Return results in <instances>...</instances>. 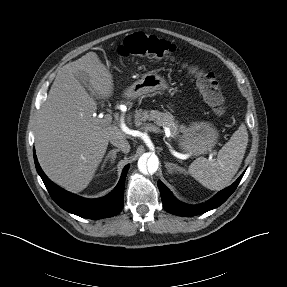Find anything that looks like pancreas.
<instances>
[{
    "instance_id": "obj_1",
    "label": "pancreas",
    "mask_w": 287,
    "mask_h": 287,
    "mask_svg": "<svg viewBox=\"0 0 287 287\" xmlns=\"http://www.w3.org/2000/svg\"><path fill=\"white\" fill-rule=\"evenodd\" d=\"M135 125L139 127L145 124L147 120L154 121L159 126L168 127L171 131L173 138L178 137L179 132L186 130L185 126L178 125V121H175L174 116L170 113L160 112L158 110H136L135 111Z\"/></svg>"
}]
</instances>
